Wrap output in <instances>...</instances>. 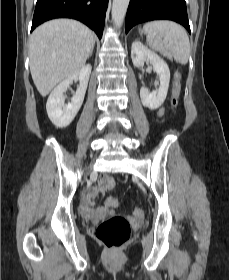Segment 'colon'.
I'll use <instances>...</instances> for the list:
<instances>
[{"label":"colon","instance_id":"1","mask_svg":"<svg viewBox=\"0 0 229 280\" xmlns=\"http://www.w3.org/2000/svg\"><path fill=\"white\" fill-rule=\"evenodd\" d=\"M180 89V77L179 75H177L174 82L171 99V104L174 109H176V107L178 106ZM100 186L103 189L110 190L114 188L115 180L110 175H103L100 180ZM133 212L136 216L143 215V211L138 208L134 209ZM130 234V223L125 217L122 216H111L103 220L96 230V237L99 240V242L111 251L121 249L129 240Z\"/></svg>","mask_w":229,"mask_h":280}]
</instances>
